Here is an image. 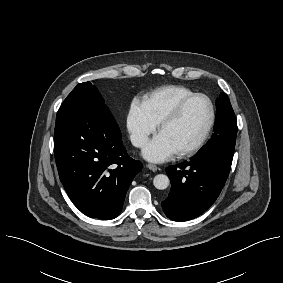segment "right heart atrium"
I'll list each match as a JSON object with an SVG mask.
<instances>
[{"instance_id":"right-heart-atrium-1","label":"right heart atrium","mask_w":283,"mask_h":283,"mask_svg":"<svg viewBox=\"0 0 283 283\" xmlns=\"http://www.w3.org/2000/svg\"><path fill=\"white\" fill-rule=\"evenodd\" d=\"M127 129L135 147H143L149 136L157 129V124L148 116L139 100H133L127 114Z\"/></svg>"}]
</instances>
